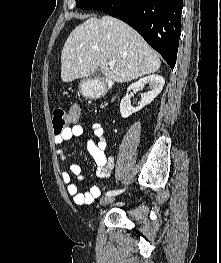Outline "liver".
Here are the masks:
<instances>
[{
	"mask_svg": "<svg viewBox=\"0 0 221 263\" xmlns=\"http://www.w3.org/2000/svg\"><path fill=\"white\" fill-rule=\"evenodd\" d=\"M108 60L115 61L110 67ZM161 62L156 52L129 25L110 16L89 18L75 27L61 53V79L72 82L88 77L100 67L118 83L156 72Z\"/></svg>",
	"mask_w": 221,
	"mask_h": 263,
	"instance_id": "liver-1",
	"label": "liver"
}]
</instances>
